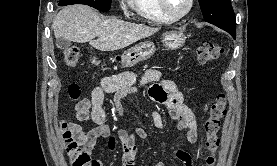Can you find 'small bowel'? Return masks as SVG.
<instances>
[{
	"instance_id": "small-bowel-1",
	"label": "small bowel",
	"mask_w": 277,
	"mask_h": 166,
	"mask_svg": "<svg viewBox=\"0 0 277 166\" xmlns=\"http://www.w3.org/2000/svg\"><path fill=\"white\" fill-rule=\"evenodd\" d=\"M144 85H150L148 94L151 100L166 106L178 129L184 132L187 144L194 145L196 143V118L191 109L184 104L183 96L175 82L169 79L161 80V73L157 69L146 70L139 79L133 72L127 71L101 78L93 88L91 97L82 99L75 106L76 120L84 121L90 117L95 124V127L89 132L83 133L81 145L86 155L90 157V152L100 138L108 141L111 150L116 145L115 137L111 135L109 127L105 124L106 113L103 108L105 95H114L115 108L118 114L122 115L124 112L122 99L128 94L137 92L138 87ZM152 120L157 128H161L164 124L162 115L157 111L153 113ZM117 138L123 152L122 166H134L137 153L136 140L147 139L148 133L141 127H135L130 131L120 129ZM175 156L182 162L183 166H193L192 156L186 148L177 149ZM92 161L94 162L93 166H103L99 159H92ZM154 166H165V164L158 161Z\"/></svg>"
}]
</instances>
